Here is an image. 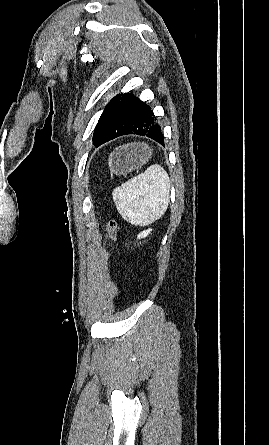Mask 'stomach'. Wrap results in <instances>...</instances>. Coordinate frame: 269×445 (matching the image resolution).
<instances>
[{"label":"stomach","instance_id":"0dacf381","mask_svg":"<svg viewBox=\"0 0 269 445\" xmlns=\"http://www.w3.org/2000/svg\"><path fill=\"white\" fill-rule=\"evenodd\" d=\"M151 153L146 144H127L110 154L108 164L112 173L125 175L145 164Z\"/></svg>","mask_w":269,"mask_h":445}]
</instances>
